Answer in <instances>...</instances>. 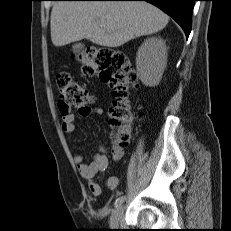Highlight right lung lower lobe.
<instances>
[{
  "instance_id": "1",
  "label": "right lung lower lobe",
  "mask_w": 231,
  "mask_h": 231,
  "mask_svg": "<svg viewBox=\"0 0 231 231\" xmlns=\"http://www.w3.org/2000/svg\"><path fill=\"white\" fill-rule=\"evenodd\" d=\"M93 1H147L172 17L188 38L191 31L192 13L196 0H93Z\"/></svg>"
}]
</instances>
